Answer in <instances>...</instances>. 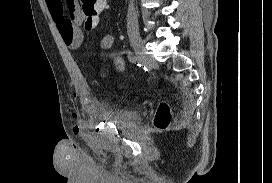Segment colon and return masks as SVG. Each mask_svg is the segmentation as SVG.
<instances>
[{"label": "colon", "instance_id": "obj_1", "mask_svg": "<svg viewBox=\"0 0 272 183\" xmlns=\"http://www.w3.org/2000/svg\"><path fill=\"white\" fill-rule=\"evenodd\" d=\"M70 12L73 13L76 0H70ZM80 9L78 10L86 28H92L98 21L101 13L106 7V0H79ZM171 120L170 108L166 103L159 105L154 116V126L157 129H166Z\"/></svg>", "mask_w": 272, "mask_h": 183}]
</instances>
